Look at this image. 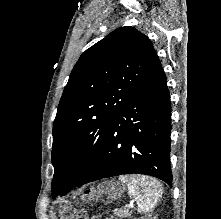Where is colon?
<instances>
[{
    "mask_svg": "<svg viewBox=\"0 0 221 219\" xmlns=\"http://www.w3.org/2000/svg\"><path fill=\"white\" fill-rule=\"evenodd\" d=\"M114 188L111 184H104L100 186L97 190H87L85 191L86 196H93L98 192V197L102 200H108ZM65 219H89L86 212L83 210H69L66 212Z\"/></svg>",
    "mask_w": 221,
    "mask_h": 219,
    "instance_id": "obj_1",
    "label": "colon"
}]
</instances>
